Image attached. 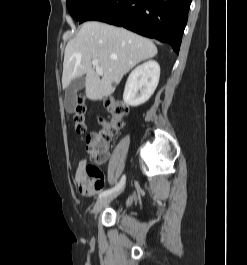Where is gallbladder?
I'll return each mask as SVG.
<instances>
[{"instance_id": "bac80fb5", "label": "gallbladder", "mask_w": 247, "mask_h": 265, "mask_svg": "<svg viewBox=\"0 0 247 265\" xmlns=\"http://www.w3.org/2000/svg\"><path fill=\"white\" fill-rule=\"evenodd\" d=\"M85 87V78L83 76L75 78L67 86L65 91V108L67 112L73 113L76 105L77 92Z\"/></svg>"}]
</instances>
